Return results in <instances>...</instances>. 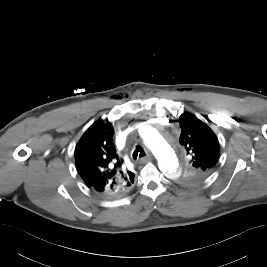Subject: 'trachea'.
Masks as SVG:
<instances>
[{"instance_id": "3493384b", "label": "trachea", "mask_w": 267, "mask_h": 267, "mask_svg": "<svg viewBox=\"0 0 267 267\" xmlns=\"http://www.w3.org/2000/svg\"><path fill=\"white\" fill-rule=\"evenodd\" d=\"M132 156H133V159L136 160L137 158L146 156V153L140 145H137Z\"/></svg>"}]
</instances>
